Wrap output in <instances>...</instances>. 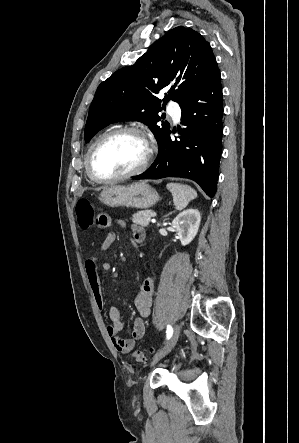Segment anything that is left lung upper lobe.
Instances as JSON below:
<instances>
[{
    "mask_svg": "<svg viewBox=\"0 0 299 443\" xmlns=\"http://www.w3.org/2000/svg\"><path fill=\"white\" fill-rule=\"evenodd\" d=\"M215 62L209 43L191 28L168 31L134 65L119 69L102 82L91 104L85 142L110 123L137 120L145 123L158 143L169 131L158 112L168 100L181 103L205 78ZM165 90L163 103L155 94Z\"/></svg>",
    "mask_w": 299,
    "mask_h": 443,
    "instance_id": "left-lung-upper-lobe-1",
    "label": "left lung upper lobe"
}]
</instances>
